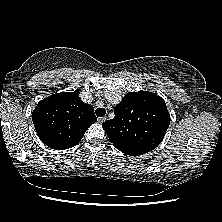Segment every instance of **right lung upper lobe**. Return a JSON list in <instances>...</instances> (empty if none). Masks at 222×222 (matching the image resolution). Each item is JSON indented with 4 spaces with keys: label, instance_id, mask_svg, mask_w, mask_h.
I'll return each mask as SVG.
<instances>
[{
    "label": "right lung upper lobe",
    "instance_id": "right-lung-upper-lobe-1",
    "mask_svg": "<svg viewBox=\"0 0 222 222\" xmlns=\"http://www.w3.org/2000/svg\"><path fill=\"white\" fill-rule=\"evenodd\" d=\"M41 141L55 150L77 145L97 121L94 108L79 98V92H61L41 100L32 113Z\"/></svg>",
    "mask_w": 222,
    "mask_h": 222
}]
</instances>
